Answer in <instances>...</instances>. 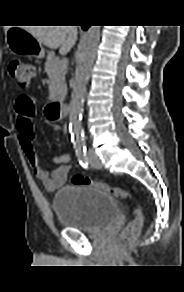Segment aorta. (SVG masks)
I'll use <instances>...</instances> for the list:
<instances>
[{"label":"aorta","mask_w":184,"mask_h":292,"mask_svg":"<svg viewBox=\"0 0 184 292\" xmlns=\"http://www.w3.org/2000/svg\"><path fill=\"white\" fill-rule=\"evenodd\" d=\"M99 40L100 26H90L85 33L77 54L78 62L69 106V120L75 136V142L78 144H82L83 142L80 135L82 132L81 116L84 96Z\"/></svg>","instance_id":"1"}]
</instances>
